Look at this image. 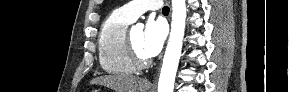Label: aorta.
I'll return each instance as SVG.
<instances>
[{"mask_svg": "<svg viewBox=\"0 0 289 92\" xmlns=\"http://www.w3.org/2000/svg\"><path fill=\"white\" fill-rule=\"evenodd\" d=\"M185 0H172L171 32L158 82V92H173L186 23Z\"/></svg>", "mask_w": 289, "mask_h": 92, "instance_id": "aorta-1", "label": "aorta"}]
</instances>
